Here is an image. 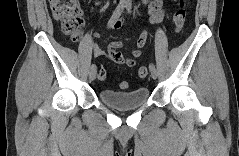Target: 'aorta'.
I'll return each mask as SVG.
<instances>
[{
	"instance_id": "aorta-1",
	"label": "aorta",
	"mask_w": 239,
	"mask_h": 156,
	"mask_svg": "<svg viewBox=\"0 0 239 156\" xmlns=\"http://www.w3.org/2000/svg\"><path fill=\"white\" fill-rule=\"evenodd\" d=\"M122 2L126 5H131V0H122Z\"/></svg>"
}]
</instances>
